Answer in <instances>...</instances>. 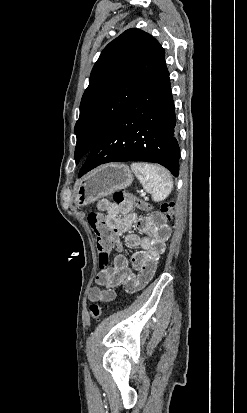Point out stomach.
<instances>
[{
    "label": "stomach",
    "instance_id": "obj_1",
    "mask_svg": "<svg viewBox=\"0 0 247 413\" xmlns=\"http://www.w3.org/2000/svg\"><path fill=\"white\" fill-rule=\"evenodd\" d=\"M132 180V170L127 164L108 162V164L97 166L76 180L74 188L76 207H86V204L95 202L101 196H108L115 190L127 188L132 184Z\"/></svg>",
    "mask_w": 247,
    "mask_h": 413
}]
</instances>
